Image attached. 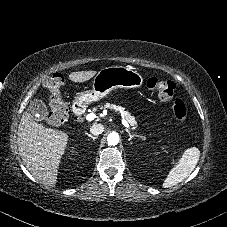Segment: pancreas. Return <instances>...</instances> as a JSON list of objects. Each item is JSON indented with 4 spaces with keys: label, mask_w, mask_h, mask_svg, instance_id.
I'll return each instance as SVG.
<instances>
[{
    "label": "pancreas",
    "mask_w": 227,
    "mask_h": 227,
    "mask_svg": "<svg viewBox=\"0 0 227 227\" xmlns=\"http://www.w3.org/2000/svg\"><path fill=\"white\" fill-rule=\"evenodd\" d=\"M104 108H108V109H111V110H115V111H120L122 112V115L124 117V119L134 128L136 129L137 128V122L135 120V118L127 111H124V108L120 107V106H116V105H113V104H109V103H106L104 105Z\"/></svg>",
    "instance_id": "pancreas-1"
}]
</instances>
